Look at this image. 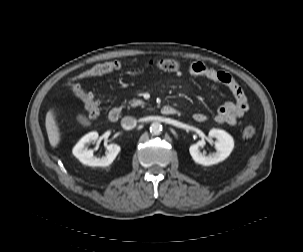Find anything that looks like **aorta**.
<instances>
[{
  "label": "aorta",
  "mask_w": 303,
  "mask_h": 252,
  "mask_svg": "<svg viewBox=\"0 0 303 252\" xmlns=\"http://www.w3.org/2000/svg\"><path fill=\"white\" fill-rule=\"evenodd\" d=\"M162 131V125L158 122H154L150 126V132L153 135H159Z\"/></svg>",
  "instance_id": "obj_1"
}]
</instances>
